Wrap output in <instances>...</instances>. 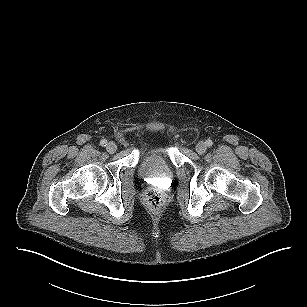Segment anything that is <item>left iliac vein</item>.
Wrapping results in <instances>:
<instances>
[{
    "label": "left iliac vein",
    "mask_w": 307,
    "mask_h": 307,
    "mask_svg": "<svg viewBox=\"0 0 307 307\" xmlns=\"http://www.w3.org/2000/svg\"><path fill=\"white\" fill-rule=\"evenodd\" d=\"M206 144L204 142H198L196 144L195 150L198 154H204L206 152Z\"/></svg>",
    "instance_id": "1"
}]
</instances>
